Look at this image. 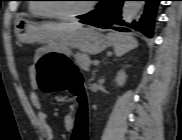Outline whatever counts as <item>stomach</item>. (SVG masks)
Returning a JSON list of instances; mask_svg holds the SVG:
<instances>
[{
  "instance_id": "0dacf381",
  "label": "stomach",
  "mask_w": 182,
  "mask_h": 140,
  "mask_svg": "<svg viewBox=\"0 0 182 140\" xmlns=\"http://www.w3.org/2000/svg\"><path fill=\"white\" fill-rule=\"evenodd\" d=\"M15 34L23 43H47L51 51L62 55H70L71 48H77L84 53L98 54L111 44L109 38L94 27H82L71 32H47L24 18L15 21Z\"/></svg>"
}]
</instances>
